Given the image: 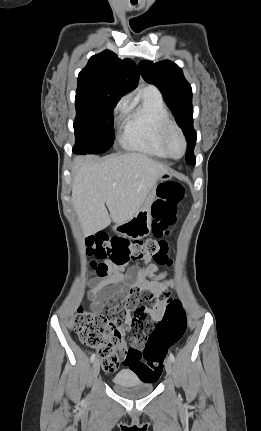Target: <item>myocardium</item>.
I'll return each mask as SVG.
<instances>
[{"mask_svg": "<svg viewBox=\"0 0 261 431\" xmlns=\"http://www.w3.org/2000/svg\"><path fill=\"white\" fill-rule=\"evenodd\" d=\"M171 132H176L182 142V153L179 156H174L170 150H169V146H168V138ZM160 140H161V144L162 147L165 151V153L167 154L168 157L172 158V159H180L182 158L187 150V141H186V137L182 131V129L180 128V126L172 119L168 118L165 123L163 124L162 128H161V132H160Z\"/></svg>", "mask_w": 261, "mask_h": 431, "instance_id": "obj_1", "label": "myocardium"}]
</instances>
